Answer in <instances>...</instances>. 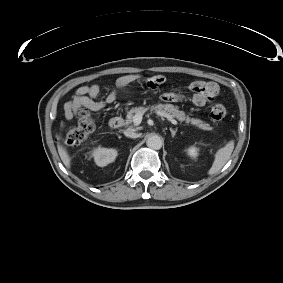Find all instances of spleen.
Segmentation results:
<instances>
[{
	"instance_id": "obj_1",
	"label": "spleen",
	"mask_w": 283,
	"mask_h": 283,
	"mask_svg": "<svg viewBox=\"0 0 283 283\" xmlns=\"http://www.w3.org/2000/svg\"><path fill=\"white\" fill-rule=\"evenodd\" d=\"M234 149V141L230 140L224 147L220 148L214 156V161L211 168L208 171L209 175H213L218 172L230 159V156Z\"/></svg>"
}]
</instances>
